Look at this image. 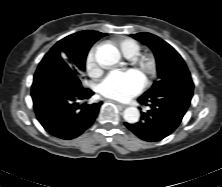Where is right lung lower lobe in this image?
Here are the masks:
<instances>
[{"label": "right lung lower lobe", "instance_id": "1", "mask_svg": "<svg viewBox=\"0 0 222 187\" xmlns=\"http://www.w3.org/2000/svg\"><path fill=\"white\" fill-rule=\"evenodd\" d=\"M93 94L60 58L39 64L31 88L38 121L48 133L66 140L78 137L96 119L101 102L80 103Z\"/></svg>", "mask_w": 222, "mask_h": 187}]
</instances>
